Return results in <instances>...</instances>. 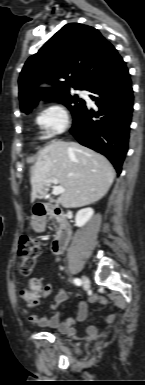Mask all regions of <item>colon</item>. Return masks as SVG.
I'll return each instance as SVG.
<instances>
[{"instance_id": "colon-1", "label": "colon", "mask_w": 145, "mask_h": 385, "mask_svg": "<svg viewBox=\"0 0 145 385\" xmlns=\"http://www.w3.org/2000/svg\"><path fill=\"white\" fill-rule=\"evenodd\" d=\"M18 258L20 271L23 275H29L38 260L40 254V244L34 238L23 236L18 244ZM41 283L38 279H32L29 289L22 292V296L28 305L38 304V292L41 290Z\"/></svg>"}]
</instances>
